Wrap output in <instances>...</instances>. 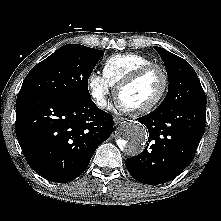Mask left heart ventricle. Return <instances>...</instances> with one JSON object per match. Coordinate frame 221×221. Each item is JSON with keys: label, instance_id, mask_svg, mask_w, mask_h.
I'll list each match as a JSON object with an SVG mask.
<instances>
[{"label": "left heart ventricle", "instance_id": "1", "mask_svg": "<svg viewBox=\"0 0 221 221\" xmlns=\"http://www.w3.org/2000/svg\"><path fill=\"white\" fill-rule=\"evenodd\" d=\"M163 77L159 70H152L136 83L125 88L120 94V101L127 107H139L150 103L160 93Z\"/></svg>", "mask_w": 221, "mask_h": 221}]
</instances>
